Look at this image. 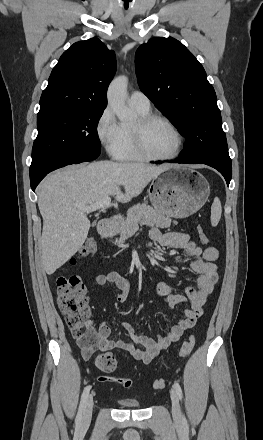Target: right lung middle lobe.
Segmentation results:
<instances>
[{
    "label": "right lung middle lobe",
    "mask_w": 263,
    "mask_h": 440,
    "mask_svg": "<svg viewBox=\"0 0 263 440\" xmlns=\"http://www.w3.org/2000/svg\"><path fill=\"white\" fill-rule=\"evenodd\" d=\"M104 108L39 111L38 135L32 149L30 178L65 160L79 163L85 150L100 147L97 124Z\"/></svg>",
    "instance_id": "right-lung-middle-lobe-1"
}]
</instances>
